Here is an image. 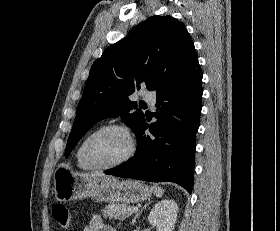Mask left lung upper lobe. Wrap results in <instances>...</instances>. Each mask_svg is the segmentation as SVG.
Returning a JSON list of instances; mask_svg holds the SVG:
<instances>
[{
    "label": "left lung upper lobe",
    "mask_w": 280,
    "mask_h": 231,
    "mask_svg": "<svg viewBox=\"0 0 280 231\" xmlns=\"http://www.w3.org/2000/svg\"><path fill=\"white\" fill-rule=\"evenodd\" d=\"M198 67L194 44L183 23L171 16H152L139 24L93 63L65 157L104 118L120 116L135 131L144 114L129 96L141 85L160 92L187 78Z\"/></svg>",
    "instance_id": "obj_1"
}]
</instances>
